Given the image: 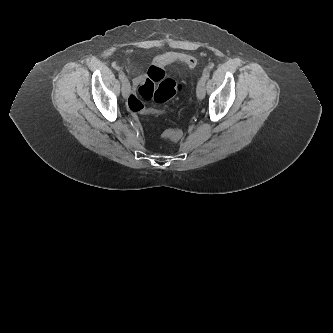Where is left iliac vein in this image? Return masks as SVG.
<instances>
[{
	"label": "left iliac vein",
	"instance_id": "obj_1",
	"mask_svg": "<svg viewBox=\"0 0 333 333\" xmlns=\"http://www.w3.org/2000/svg\"><path fill=\"white\" fill-rule=\"evenodd\" d=\"M196 94H197V98L199 100H203L205 97V82L204 81H199L198 85H197V89H196Z\"/></svg>",
	"mask_w": 333,
	"mask_h": 333
}]
</instances>
